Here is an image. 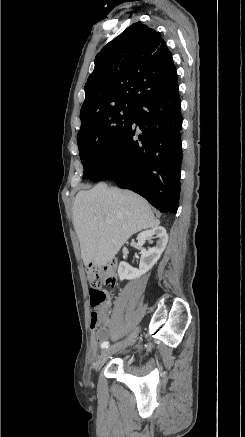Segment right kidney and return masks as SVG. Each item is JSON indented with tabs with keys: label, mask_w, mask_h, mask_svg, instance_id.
I'll return each mask as SVG.
<instances>
[{
	"label": "right kidney",
	"mask_w": 245,
	"mask_h": 437,
	"mask_svg": "<svg viewBox=\"0 0 245 437\" xmlns=\"http://www.w3.org/2000/svg\"><path fill=\"white\" fill-rule=\"evenodd\" d=\"M153 236L158 239L156 246L149 248L148 250L141 248L139 269L133 268L124 261L120 262L118 266V275L120 280H133L141 277L159 260L168 242V234L166 233L165 228L157 226L155 228L145 230L138 234L137 241L138 245L141 247L147 238H152Z\"/></svg>",
	"instance_id": "1"
}]
</instances>
